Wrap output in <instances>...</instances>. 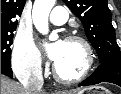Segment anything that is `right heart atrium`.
<instances>
[{
    "mask_svg": "<svg viewBox=\"0 0 121 94\" xmlns=\"http://www.w3.org/2000/svg\"><path fill=\"white\" fill-rule=\"evenodd\" d=\"M12 69L23 79L38 78L43 69V58L30 35H20L15 39L12 52Z\"/></svg>",
    "mask_w": 121,
    "mask_h": 94,
    "instance_id": "1",
    "label": "right heart atrium"
}]
</instances>
